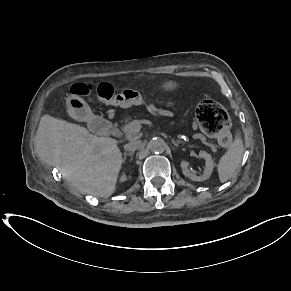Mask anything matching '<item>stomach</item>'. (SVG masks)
<instances>
[{
  "label": "stomach",
  "mask_w": 291,
  "mask_h": 291,
  "mask_svg": "<svg viewBox=\"0 0 291 291\" xmlns=\"http://www.w3.org/2000/svg\"><path fill=\"white\" fill-rule=\"evenodd\" d=\"M177 87L176 83L169 81L162 85L165 91L174 90ZM66 106L71 116L82 119L90 112L87 103L79 96L70 95L66 98Z\"/></svg>",
  "instance_id": "obj_1"
}]
</instances>
